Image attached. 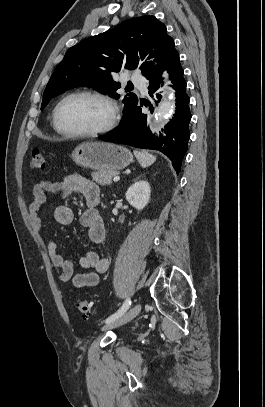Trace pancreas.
Instances as JSON below:
<instances>
[{
  "label": "pancreas",
  "mask_w": 265,
  "mask_h": 407,
  "mask_svg": "<svg viewBox=\"0 0 265 407\" xmlns=\"http://www.w3.org/2000/svg\"><path fill=\"white\" fill-rule=\"evenodd\" d=\"M116 175L115 171H96L91 174L92 179L101 186L110 185L112 177Z\"/></svg>",
  "instance_id": "pancreas-1"
}]
</instances>
